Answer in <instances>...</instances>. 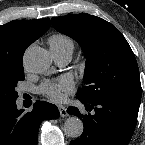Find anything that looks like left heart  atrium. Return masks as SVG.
I'll list each match as a JSON object with an SVG mask.
<instances>
[{
    "label": "left heart atrium",
    "instance_id": "1",
    "mask_svg": "<svg viewBox=\"0 0 145 145\" xmlns=\"http://www.w3.org/2000/svg\"><path fill=\"white\" fill-rule=\"evenodd\" d=\"M74 81L69 76H63L56 81H45L39 87L40 92L54 101L63 100V93L71 91Z\"/></svg>",
    "mask_w": 145,
    "mask_h": 145
}]
</instances>
